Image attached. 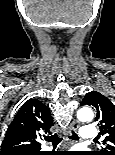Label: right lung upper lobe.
<instances>
[{
    "mask_svg": "<svg viewBox=\"0 0 115 155\" xmlns=\"http://www.w3.org/2000/svg\"><path fill=\"white\" fill-rule=\"evenodd\" d=\"M53 126L48 107L38 99L25 102L9 125L0 155H19L40 149L38 140Z\"/></svg>",
    "mask_w": 115,
    "mask_h": 155,
    "instance_id": "obj_1",
    "label": "right lung upper lobe"
}]
</instances>
